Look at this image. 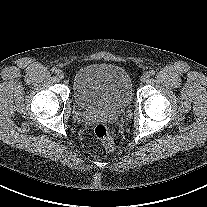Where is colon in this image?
I'll return each instance as SVG.
<instances>
[{
  "label": "colon",
  "instance_id": "colon-1",
  "mask_svg": "<svg viewBox=\"0 0 207 207\" xmlns=\"http://www.w3.org/2000/svg\"><path fill=\"white\" fill-rule=\"evenodd\" d=\"M94 135L102 143L104 149L107 152H111L114 149V140L110 135L108 127L104 123H97L94 126Z\"/></svg>",
  "mask_w": 207,
  "mask_h": 207
}]
</instances>
